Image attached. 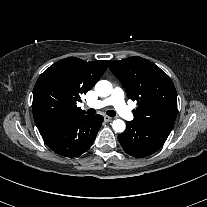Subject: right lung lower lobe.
I'll list each match as a JSON object with an SVG mask.
<instances>
[{"label":"right lung lower lobe","mask_w":207,"mask_h":207,"mask_svg":"<svg viewBox=\"0 0 207 207\" xmlns=\"http://www.w3.org/2000/svg\"><path fill=\"white\" fill-rule=\"evenodd\" d=\"M102 122L101 115H82L56 125L41 136L57 154L76 157L90 148Z\"/></svg>","instance_id":"right-lung-lower-lobe-1"}]
</instances>
